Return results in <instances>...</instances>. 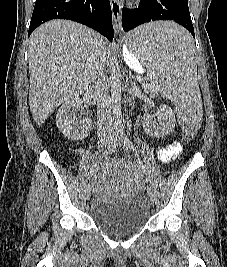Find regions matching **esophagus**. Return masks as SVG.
<instances>
[{
    "label": "esophagus",
    "mask_w": 227,
    "mask_h": 267,
    "mask_svg": "<svg viewBox=\"0 0 227 267\" xmlns=\"http://www.w3.org/2000/svg\"><path fill=\"white\" fill-rule=\"evenodd\" d=\"M112 14H113V21H114V28L116 32L121 30V9L122 4L119 0H110Z\"/></svg>",
    "instance_id": "1"
}]
</instances>
